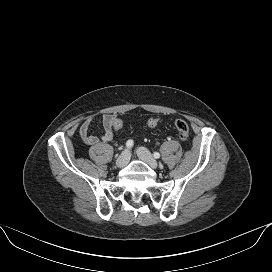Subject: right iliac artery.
I'll use <instances>...</instances> for the list:
<instances>
[{
    "label": "right iliac artery",
    "mask_w": 272,
    "mask_h": 272,
    "mask_svg": "<svg viewBox=\"0 0 272 272\" xmlns=\"http://www.w3.org/2000/svg\"><path fill=\"white\" fill-rule=\"evenodd\" d=\"M133 144H134L133 140H128L127 143H126V146H127L128 149H131Z\"/></svg>",
    "instance_id": "obj_1"
}]
</instances>
